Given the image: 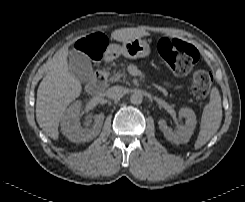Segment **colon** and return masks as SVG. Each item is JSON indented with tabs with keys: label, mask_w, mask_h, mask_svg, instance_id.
I'll return each instance as SVG.
<instances>
[{
	"label": "colon",
	"mask_w": 245,
	"mask_h": 202,
	"mask_svg": "<svg viewBox=\"0 0 245 202\" xmlns=\"http://www.w3.org/2000/svg\"><path fill=\"white\" fill-rule=\"evenodd\" d=\"M106 45L105 36L95 33L76 42L74 48L77 55L96 60L103 54ZM157 50L159 57L179 75L189 73L199 60L198 50L178 39L161 38ZM211 85L212 75L209 71L199 70L193 74L192 88L198 99H206Z\"/></svg>",
	"instance_id": "obj_1"
}]
</instances>
